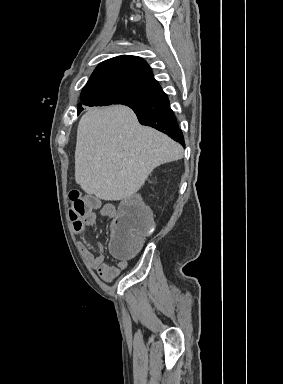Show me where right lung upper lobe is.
I'll use <instances>...</instances> for the list:
<instances>
[{
	"label": "right lung upper lobe",
	"mask_w": 283,
	"mask_h": 384,
	"mask_svg": "<svg viewBox=\"0 0 283 384\" xmlns=\"http://www.w3.org/2000/svg\"><path fill=\"white\" fill-rule=\"evenodd\" d=\"M105 84L124 85L155 92L161 90L149 65L140 57L130 55L114 57L100 63L85 87Z\"/></svg>",
	"instance_id": "1"
}]
</instances>
